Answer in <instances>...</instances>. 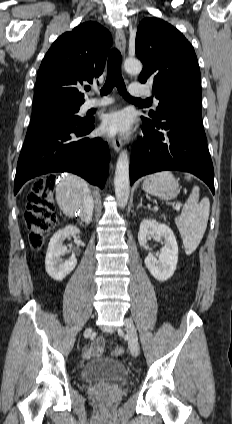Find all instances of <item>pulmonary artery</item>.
Listing matches in <instances>:
<instances>
[{"label": "pulmonary artery", "mask_w": 232, "mask_h": 424, "mask_svg": "<svg viewBox=\"0 0 232 424\" xmlns=\"http://www.w3.org/2000/svg\"><path fill=\"white\" fill-rule=\"evenodd\" d=\"M129 93L132 96H147L150 94L149 89L143 84L134 83L129 87ZM114 100L110 97L104 96L101 98H91L86 100L83 105V109L88 110L97 107H105L112 104ZM155 104L159 103L158 99L154 100Z\"/></svg>", "instance_id": "e3ab8cb5"}]
</instances>
